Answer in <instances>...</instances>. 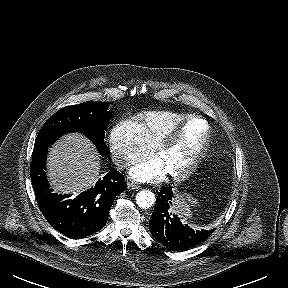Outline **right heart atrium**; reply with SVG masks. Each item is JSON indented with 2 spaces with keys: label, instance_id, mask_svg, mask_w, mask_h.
<instances>
[{
  "label": "right heart atrium",
  "instance_id": "1",
  "mask_svg": "<svg viewBox=\"0 0 288 288\" xmlns=\"http://www.w3.org/2000/svg\"><path fill=\"white\" fill-rule=\"evenodd\" d=\"M110 147L114 161L122 167L149 157L153 152L140 125L131 119L121 120L112 128Z\"/></svg>",
  "mask_w": 288,
  "mask_h": 288
}]
</instances>
